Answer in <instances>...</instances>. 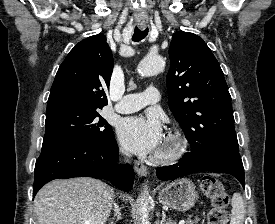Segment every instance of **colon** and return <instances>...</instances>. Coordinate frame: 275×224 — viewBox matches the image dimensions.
Wrapping results in <instances>:
<instances>
[{"instance_id": "colon-1", "label": "colon", "mask_w": 275, "mask_h": 224, "mask_svg": "<svg viewBox=\"0 0 275 224\" xmlns=\"http://www.w3.org/2000/svg\"><path fill=\"white\" fill-rule=\"evenodd\" d=\"M200 189L212 203L208 224H227L230 197L222 183L212 176H205L200 182Z\"/></svg>"}]
</instances>
